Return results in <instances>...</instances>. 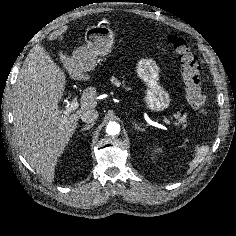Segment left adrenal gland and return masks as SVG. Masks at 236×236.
I'll use <instances>...</instances> for the list:
<instances>
[{"label":"left adrenal gland","mask_w":236,"mask_h":236,"mask_svg":"<svg viewBox=\"0 0 236 236\" xmlns=\"http://www.w3.org/2000/svg\"><path fill=\"white\" fill-rule=\"evenodd\" d=\"M132 121H133V125H134V127H135L136 130H138V131H144V130H145L144 128L140 127V126L136 123L135 120H132Z\"/></svg>","instance_id":"obj_1"}]
</instances>
